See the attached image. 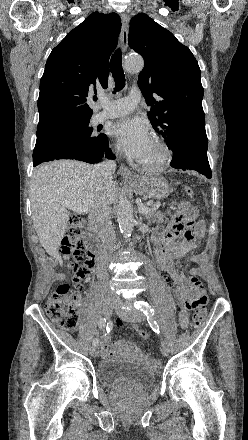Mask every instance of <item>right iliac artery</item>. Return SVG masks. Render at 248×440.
Instances as JSON below:
<instances>
[{
  "mask_svg": "<svg viewBox=\"0 0 248 440\" xmlns=\"http://www.w3.org/2000/svg\"><path fill=\"white\" fill-rule=\"evenodd\" d=\"M98 326H99V329H103L106 326V318H101L99 320ZM107 330H108V326H107ZM98 344H99V339L98 338H94L93 346H97Z\"/></svg>",
  "mask_w": 248,
  "mask_h": 440,
  "instance_id": "1",
  "label": "right iliac artery"
}]
</instances>
